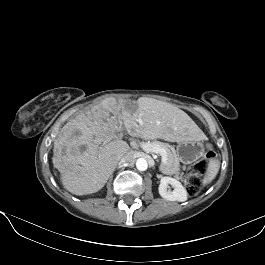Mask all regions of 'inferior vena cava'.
I'll list each match as a JSON object with an SVG mask.
<instances>
[{
	"instance_id": "1",
	"label": "inferior vena cava",
	"mask_w": 265,
	"mask_h": 265,
	"mask_svg": "<svg viewBox=\"0 0 265 265\" xmlns=\"http://www.w3.org/2000/svg\"><path fill=\"white\" fill-rule=\"evenodd\" d=\"M134 160V155L132 152H127L125 155H123L120 160H119V164H123V163H130Z\"/></svg>"
}]
</instances>
